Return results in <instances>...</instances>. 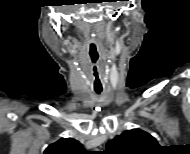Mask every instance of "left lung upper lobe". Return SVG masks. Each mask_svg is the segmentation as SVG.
Masks as SVG:
<instances>
[{
    "label": "left lung upper lobe",
    "instance_id": "obj_1",
    "mask_svg": "<svg viewBox=\"0 0 190 154\" xmlns=\"http://www.w3.org/2000/svg\"><path fill=\"white\" fill-rule=\"evenodd\" d=\"M159 147L153 136L140 129H132L110 140L104 152L105 154H150Z\"/></svg>",
    "mask_w": 190,
    "mask_h": 154
}]
</instances>
